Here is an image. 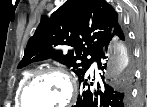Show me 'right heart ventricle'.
Returning <instances> with one entry per match:
<instances>
[{"label": "right heart ventricle", "instance_id": "1", "mask_svg": "<svg viewBox=\"0 0 147 107\" xmlns=\"http://www.w3.org/2000/svg\"><path fill=\"white\" fill-rule=\"evenodd\" d=\"M31 74H32V71H30V70H25L21 73L19 80H18L17 88H16V98L19 97V94H20V91H21L23 85L28 80V78L30 77Z\"/></svg>", "mask_w": 147, "mask_h": 107}]
</instances>
